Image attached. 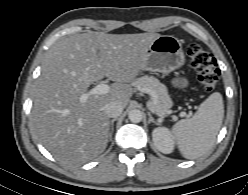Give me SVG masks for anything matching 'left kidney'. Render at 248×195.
<instances>
[{"label": "left kidney", "mask_w": 248, "mask_h": 195, "mask_svg": "<svg viewBox=\"0 0 248 195\" xmlns=\"http://www.w3.org/2000/svg\"><path fill=\"white\" fill-rule=\"evenodd\" d=\"M155 147L164 154H169L174 150V141L169 130L165 127L155 128L152 132Z\"/></svg>", "instance_id": "left-kidney-1"}]
</instances>
